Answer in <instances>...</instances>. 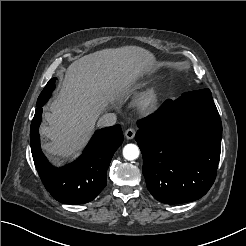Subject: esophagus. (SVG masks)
Masks as SVG:
<instances>
[{
	"label": "esophagus",
	"mask_w": 246,
	"mask_h": 246,
	"mask_svg": "<svg viewBox=\"0 0 246 246\" xmlns=\"http://www.w3.org/2000/svg\"><path fill=\"white\" fill-rule=\"evenodd\" d=\"M125 137L127 139H133L135 137V130L132 128H129L125 131Z\"/></svg>",
	"instance_id": "esophagus-1"
}]
</instances>
